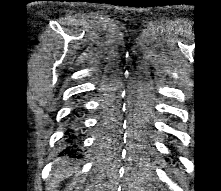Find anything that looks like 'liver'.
I'll use <instances>...</instances> for the list:
<instances>
[{
    "label": "liver",
    "mask_w": 221,
    "mask_h": 191,
    "mask_svg": "<svg viewBox=\"0 0 221 191\" xmlns=\"http://www.w3.org/2000/svg\"><path fill=\"white\" fill-rule=\"evenodd\" d=\"M57 166L59 167L58 170L54 171L53 175H54V180L58 181L61 180L67 176H69L72 171L70 168H65V166L68 165V161L66 158H62L59 161L56 162ZM60 165L62 167H60Z\"/></svg>",
    "instance_id": "liver-1"
}]
</instances>
